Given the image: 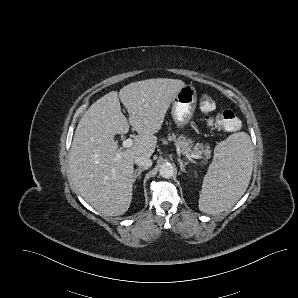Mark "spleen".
Returning <instances> with one entry per match:
<instances>
[{
    "mask_svg": "<svg viewBox=\"0 0 298 298\" xmlns=\"http://www.w3.org/2000/svg\"><path fill=\"white\" fill-rule=\"evenodd\" d=\"M253 162V145L246 133H235L218 142L203 178L199 209L218 214L231 208L249 185Z\"/></svg>",
    "mask_w": 298,
    "mask_h": 298,
    "instance_id": "obj_1",
    "label": "spleen"
}]
</instances>
